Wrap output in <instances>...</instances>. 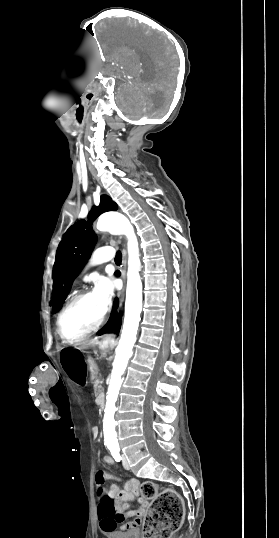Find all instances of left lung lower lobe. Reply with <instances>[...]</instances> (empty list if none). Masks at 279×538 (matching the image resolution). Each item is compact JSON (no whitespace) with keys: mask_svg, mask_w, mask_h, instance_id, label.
Listing matches in <instances>:
<instances>
[{"mask_svg":"<svg viewBox=\"0 0 279 538\" xmlns=\"http://www.w3.org/2000/svg\"><path fill=\"white\" fill-rule=\"evenodd\" d=\"M117 307H118V301L116 300L115 305H114V311L112 312V315L108 323L102 329L98 331L97 333L98 335L108 333L112 330H116L117 332H119L120 326H121V313L119 315L116 313Z\"/></svg>","mask_w":279,"mask_h":538,"instance_id":"obj_1","label":"left lung lower lobe"}]
</instances>
